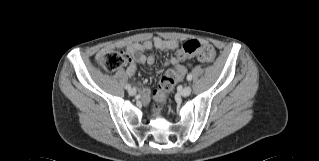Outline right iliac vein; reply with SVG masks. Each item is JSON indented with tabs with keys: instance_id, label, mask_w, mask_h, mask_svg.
Here are the masks:
<instances>
[{
	"instance_id": "1",
	"label": "right iliac vein",
	"mask_w": 319,
	"mask_h": 161,
	"mask_svg": "<svg viewBox=\"0 0 319 161\" xmlns=\"http://www.w3.org/2000/svg\"><path fill=\"white\" fill-rule=\"evenodd\" d=\"M129 94H130L131 96H134V95L136 94V89H135V88L129 89Z\"/></svg>"
}]
</instances>
